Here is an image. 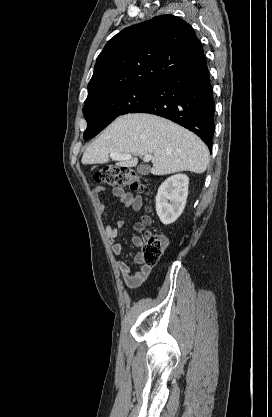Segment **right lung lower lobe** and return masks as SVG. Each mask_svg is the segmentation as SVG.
<instances>
[{
  "label": "right lung lower lobe",
  "instance_id": "1",
  "mask_svg": "<svg viewBox=\"0 0 272 417\" xmlns=\"http://www.w3.org/2000/svg\"><path fill=\"white\" fill-rule=\"evenodd\" d=\"M132 113L165 117L197 134L211 151L214 98L204 53L172 72Z\"/></svg>",
  "mask_w": 272,
  "mask_h": 417
}]
</instances>
